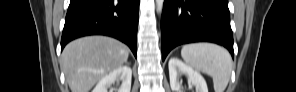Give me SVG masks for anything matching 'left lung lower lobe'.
<instances>
[{"mask_svg": "<svg viewBox=\"0 0 296 92\" xmlns=\"http://www.w3.org/2000/svg\"><path fill=\"white\" fill-rule=\"evenodd\" d=\"M162 59L176 46L213 42L234 56L228 0H165L161 18Z\"/></svg>", "mask_w": 296, "mask_h": 92, "instance_id": "obj_1", "label": "left lung lower lobe"}]
</instances>
